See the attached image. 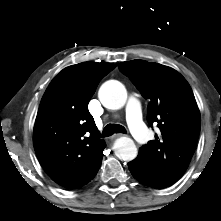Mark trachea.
Returning <instances> with one entry per match:
<instances>
[{"mask_svg": "<svg viewBox=\"0 0 221 221\" xmlns=\"http://www.w3.org/2000/svg\"><path fill=\"white\" fill-rule=\"evenodd\" d=\"M114 133H126V129L119 124H108L103 129L102 137H108Z\"/></svg>", "mask_w": 221, "mask_h": 221, "instance_id": "obj_1", "label": "trachea"}]
</instances>
